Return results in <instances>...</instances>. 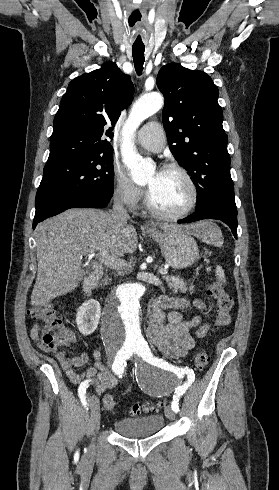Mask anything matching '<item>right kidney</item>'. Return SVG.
Returning a JSON list of instances; mask_svg holds the SVG:
<instances>
[{"label": "right kidney", "mask_w": 279, "mask_h": 490, "mask_svg": "<svg viewBox=\"0 0 279 490\" xmlns=\"http://www.w3.org/2000/svg\"><path fill=\"white\" fill-rule=\"evenodd\" d=\"M101 316V306L97 300H87L76 314V324L80 334L89 336L95 332Z\"/></svg>", "instance_id": "1"}]
</instances>
